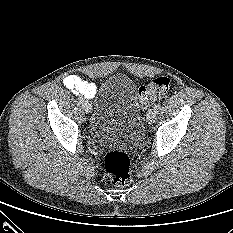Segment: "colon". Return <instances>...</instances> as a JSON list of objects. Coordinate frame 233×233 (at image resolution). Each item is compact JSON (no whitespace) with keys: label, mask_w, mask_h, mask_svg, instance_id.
Here are the masks:
<instances>
[{"label":"colon","mask_w":233,"mask_h":233,"mask_svg":"<svg viewBox=\"0 0 233 233\" xmlns=\"http://www.w3.org/2000/svg\"><path fill=\"white\" fill-rule=\"evenodd\" d=\"M170 80L165 76L154 78L148 85L139 88L137 101L142 108L148 107L155 99L166 94ZM104 171L110 183L117 187L131 181V161L127 153L121 150H110L104 157Z\"/></svg>","instance_id":"1"}]
</instances>
